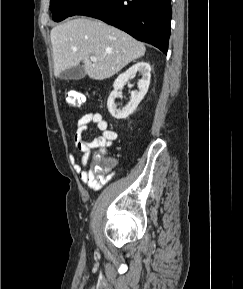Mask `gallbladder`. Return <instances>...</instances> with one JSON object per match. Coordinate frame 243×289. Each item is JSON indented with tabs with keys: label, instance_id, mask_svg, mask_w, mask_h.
I'll list each match as a JSON object with an SVG mask.
<instances>
[{
	"label": "gallbladder",
	"instance_id": "gallbladder-1",
	"mask_svg": "<svg viewBox=\"0 0 243 289\" xmlns=\"http://www.w3.org/2000/svg\"><path fill=\"white\" fill-rule=\"evenodd\" d=\"M86 75L85 70L81 66L68 68L62 71L59 75L61 80H80Z\"/></svg>",
	"mask_w": 243,
	"mask_h": 289
}]
</instances>
